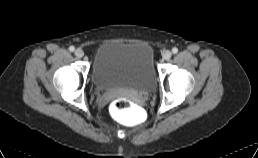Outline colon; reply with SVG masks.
<instances>
[{
    "label": "colon",
    "mask_w": 258,
    "mask_h": 158,
    "mask_svg": "<svg viewBox=\"0 0 258 158\" xmlns=\"http://www.w3.org/2000/svg\"><path fill=\"white\" fill-rule=\"evenodd\" d=\"M131 108V103L124 97L115 98L110 106V112L114 116H121Z\"/></svg>",
    "instance_id": "obj_1"
}]
</instances>
